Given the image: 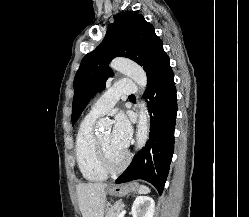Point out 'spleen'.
<instances>
[{"instance_id": "1", "label": "spleen", "mask_w": 249, "mask_h": 217, "mask_svg": "<svg viewBox=\"0 0 249 217\" xmlns=\"http://www.w3.org/2000/svg\"><path fill=\"white\" fill-rule=\"evenodd\" d=\"M150 189L147 186L141 185L139 188V193L140 194H146L149 193Z\"/></svg>"}]
</instances>
